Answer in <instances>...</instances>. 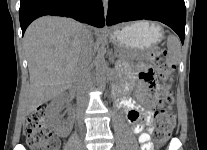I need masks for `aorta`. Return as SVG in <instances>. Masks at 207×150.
Returning <instances> with one entry per match:
<instances>
[{
    "instance_id": "aorta-1",
    "label": "aorta",
    "mask_w": 207,
    "mask_h": 150,
    "mask_svg": "<svg viewBox=\"0 0 207 150\" xmlns=\"http://www.w3.org/2000/svg\"><path fill=\"white\" fill-rule=\"evenodd\" d=\"M105 48L102 45L97 53L95 59V75H96V83L99 89L104 90L107 82V64L105 61Z\"/></svg>"
}]
</instances>
